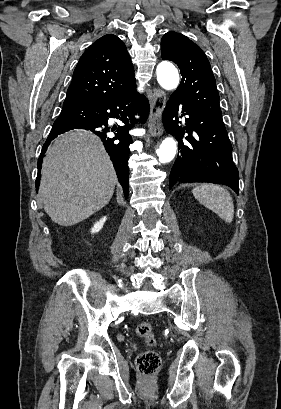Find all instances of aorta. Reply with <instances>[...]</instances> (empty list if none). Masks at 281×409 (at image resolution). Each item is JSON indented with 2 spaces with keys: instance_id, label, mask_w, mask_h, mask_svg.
I'll return each mask as SVG.
<instances>
[{
  "instance_id": "1",
  "label": "aorta",
  "mask_w": 281,
  "mask_h": 409,
  "mask_svg": "<svg viewBox=\"0 0 281 409\" xmlns=\"http://www.w3.org/2000/svg\"><path fill=\"white\" fill-rule=\"evenodd\" d=\"M157 81L162 88L166 90H173L179 84V74L176 67L170 62H161L156 69ZM177 146L173 138H165L156 151L159 161L161 163L170 162L176 154Z\"/></svg>"
}]
</instances>
